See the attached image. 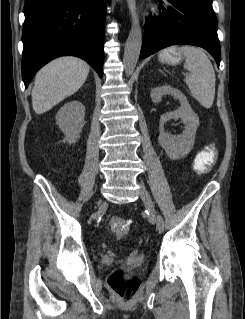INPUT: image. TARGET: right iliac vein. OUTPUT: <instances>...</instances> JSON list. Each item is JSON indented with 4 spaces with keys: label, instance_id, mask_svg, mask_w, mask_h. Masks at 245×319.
Masks as SVG:
<instances>
[{
    "label": "right iliac vein",
    "instance_id": "right-iliac-vein-1",
    "mask_svg": "<svg viewBox=\"0 0 245 319\" xmlns=\"http://www.w3.org/2000/svg\"><path fill=\"white\" fill-rule=\"evenodd\" d=\"M101 203H102V201L100 200V201H99V204H101Z\"/></svg>",
    "mask_w": 245,
    "mask_h": 319
}]
</instances>
